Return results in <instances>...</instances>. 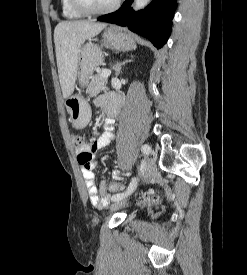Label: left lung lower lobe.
<instances>
[{"label":"left lung lower lobe","instance_id":"0a47b994","mask_svg":"<svg viewBox=\"0 0 247 275\" xmlns=\"http://www.w3.org/2000/svg\"><path fill=\"white\" fill-rule=\"evenodd\" d=\"M133 0H126L114 13L103 15L99 21L127 26L131 31L146 37L157 48L168 40L172 18L176 9V0H153L145 9L132 12Z\"/></svg>","mask_w":247,"mask_h":275}]
</instances>
